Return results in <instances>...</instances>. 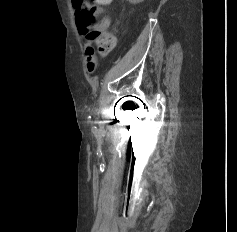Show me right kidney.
Returning <instances> with one entry per match:
<instances>
[{"label": "right kidney", "instance_id": "right-kidney-1", "mask_svg": "<svg viewBox=\"0 0 237 232\" xmlns=\"http://www.w3.org/2000/svg\"><path fill=\"white\" fill-rule=\"evenodd\" d=\"M128 1L132 4H137V3L143 2L144 0H128Z\"/></svg>", "mask_w": 237, "mask_h": 232}]
</instances>
